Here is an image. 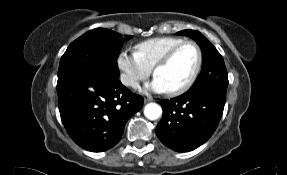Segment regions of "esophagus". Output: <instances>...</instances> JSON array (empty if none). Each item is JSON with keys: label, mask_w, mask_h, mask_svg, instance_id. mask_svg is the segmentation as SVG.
Segmentation results:
<instances>
[{"label": "esophagus", "mask_w": 287, "mask_h": 175, "mask_svg": "<svg viewBox=\"0 0 287 175\" xmlns=\"http://www.w3.org/2000/svg\"><path fill=\"white\" fill-rule=\"evenodd\" d=\"M153 101V98L152 97H145L144 98V102L147 103V102H151Z\"/></svg>", "instance_id": "esophagus-1"}]
</instances>
